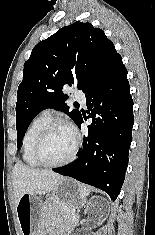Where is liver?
<instances>
[{
    "instance_id": "6515ba94",
    "label": "liver",
    "mask_w": 155,
    "mask_h": 235,
    "mask_svg": "<svg viewBox=\"0 0 155 235\" xmlns=\"http://www.w3.org/2000/svg\"><path fill=\"white\" fill-rule=\"evenodd\" d=\"M64 177L51 171L32 168L16 163L13 168V190L15 205L24 194H48Z\"/></svg>"
}]
</instances>
